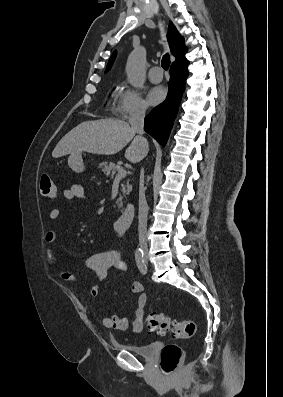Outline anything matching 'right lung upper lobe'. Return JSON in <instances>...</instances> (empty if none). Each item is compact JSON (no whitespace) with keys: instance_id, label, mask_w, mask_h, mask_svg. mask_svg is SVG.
<instances>
[{"instance_id":"right-lung-upper-lobe-1","label":"right lung upper lobe","mask_w":283,"mask_h":397,"mask_svg":"<svg viewBox=\"0 0 283 397\" xmlns=\"http://www.w3.org/2000/svg\"><path fill=\"white\" fill-rule=\"evenodd\" d=\"M167 36L170 44L171 53L176 58L173 64L186 61L185 54L187 52V48L184 45V38L179 34V32L177 31L176 27L172 22L169 23ZM115 55L116 52H114L111 58L109 59L105 73L110 70L114 62Z\"/></svg>"}]
</instances>
